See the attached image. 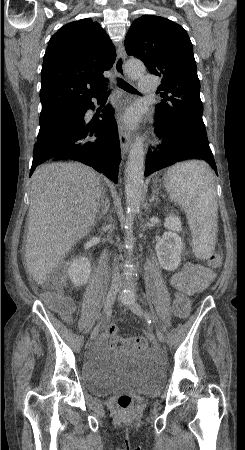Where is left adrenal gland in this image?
<instances>
[{"label": "left adrenal gland", "instance_id": "a2214340", "mask_svg": "<svg viewBox=\"0 0 245 450\" xmlns=\"http://www.w3.org/2000/svg\"><path fill=\"white\" fill-rule=\"evenodd\" d=\"M154 201H155V202H158V199H157V197H156V190H153L149 202L152 203V202H154Z\"/></svg>", "mask_w": 245, "mask_h": 450}]
</instances>
